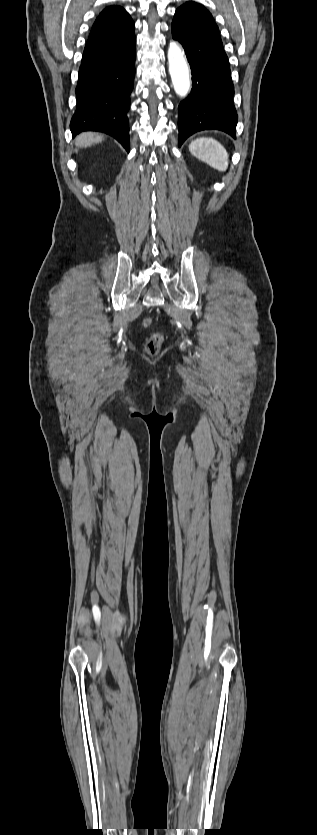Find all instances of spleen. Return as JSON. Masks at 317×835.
<instances>
[{"mask_svg": "<svg viewBox=\"0 0 317 835\" xmlns=\"http://www.w3.org/2000/svg\"><path fill=\"white\" fill-rule=\"evenodd\" d=\"M189 151L197 159L205 162L220 172H225L228 169V153L226 149L213 138H197L189 144Z\"/></svg>", "mask_w": 317, "mask_h": 835, "instance_id": "3e777b00", "label": "spleen"}]
</instances>
